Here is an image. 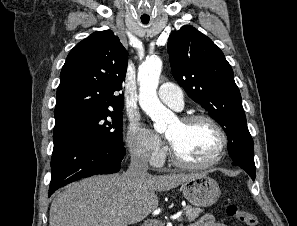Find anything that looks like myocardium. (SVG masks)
I'll list each match as a JSON object with an SVG mask.
<instances>
[{
  "label": "myocardium",
  "mask_w": 297,
  "mask_h": 226,
  "mask_svg": "<svg viewBox=\"0 0 297 226\" xmlns=\"http://www.w3.org/2000/svg\"><path fill=\"white\" fill-rule=\"evenodd\" d=\"M197 121H204L209 123L218 133L220 137V145L219 148L216 152V155L209 160L206 163H190L185 160H183L176 152V150L173 148V146H170V159L172 163L180 168L183 169H189V170H205L209 169L215 165H217L224 157L226 153V149L228 146V136L223 127L220 125L218 121H216L213 117L206 115V114H201V113H195V114H188L185 116H182L180 118V122L183 124H189L192 122H197Z\"/></svg>",
  "instance_id": "f54148a6"
}]
</instances>
